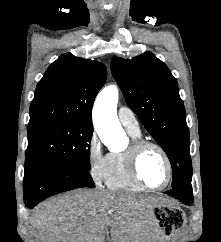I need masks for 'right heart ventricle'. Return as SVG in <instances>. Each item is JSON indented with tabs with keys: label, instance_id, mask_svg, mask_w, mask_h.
<instances>
[{
	"label": "right heart ventricle",
	"instance_id": "obj_1",
	"mask_svg": "<svg viewBox=\"0 0 221 242\" xmlns=\"http://www.w3.org/2000/svg\"><path fill=\"white\" fill-rule=\"evenodd\" d=\"M134 140L140 139L139 133L129 131ZM104 181L109 189L125 191H142L143 188L132 178L128 163L126 151L108 154L107 167Z\"/></svg>",
	"mask_w": 221,
	"mask_h": 242
}]
</instances>
